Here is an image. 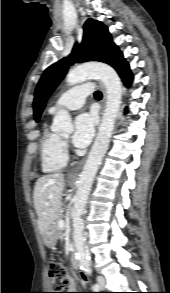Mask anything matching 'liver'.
<instances>
[{
    "instance_id": "obj_1",
    "label": "liver",
    "mask_w": 170,
    "mask_h": 293,
    "mask_svg": "<svg viewBox=\"0 0 170 293\" xmlns=\"http://www.w3.org/2000/svg\"><path fill=\"white\" fill-rule=\"evenodd\" d=\"M63 189L64 175L61 173L42 176L35 183L33 200L42 235L51 229V225L60 213Z\"/></svg>"
}]
</instances>
